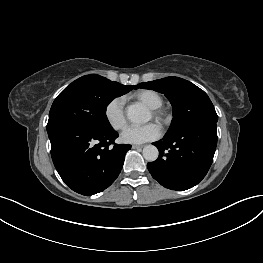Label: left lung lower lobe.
Returning <instances> with one entry per match:
<instances>
[{
  "label": "left lung lower lobe",
  "mask_w": 263,
  "mask_h": 263,
  "mask_svg": "<svg viewBox=\"0 0 263 263\" xmlns=\"http://www.w3.org/2000/svg\"><path fill=\"white\" fill-rule=\"evenodd\" d=\"M217 125H197L166 134L154 145L156 161L147 164L152 177L172 190H187L207 174L217 145Z\"/></svg>",
  "instance_id": "obj_1"
}]
</instances>
